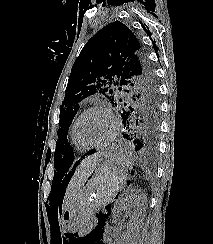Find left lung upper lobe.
Listing matches in <instances>:
<instances>
[{
	"instance_id": "left-lung-upper-lobe-1",
	"label": "left lung upper lobe",
	"mask_w": 213,
	"mask_h": 244,
	"mask_svg": "<svg viewBox=\"0 0 213 244\" xmlns=\"http://www.w3.org/2000/svg\"><path fill=\"white\" fill-rule=\"evenodd\" d=\"M100 94L137 122L159 119V95L153 69L134 33L115 21L99 30L75 60L60 110L54 166L68 170L74 153L69 126L85 98Z\"/></svg>"
}]
</instances>
